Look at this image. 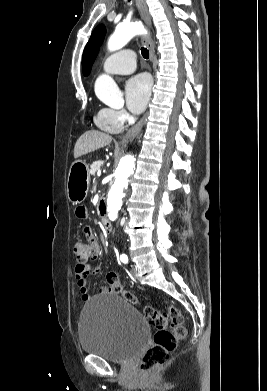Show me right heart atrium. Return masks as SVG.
<instances>
[{"label": "right heart atrium", "mask_w": 267, "mask_h": 391, "mask_svg": "<svg viewBox=\"0 0 267 391\" xmlns=\"http://www.w3.org/2000/svg\"><path fill=\"white\" fill-rule=\"evenodd\" d=\"M107 112L110 120L119 126L129 120V114L124 109H107Z\"/></svg>", "instance_id": "d8ad5b80"}]
</instances>
